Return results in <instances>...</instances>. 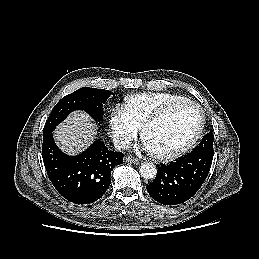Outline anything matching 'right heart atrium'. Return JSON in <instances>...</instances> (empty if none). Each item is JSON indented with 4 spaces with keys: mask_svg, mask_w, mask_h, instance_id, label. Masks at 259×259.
I'll return each instance as SVG.
<instances>
[{
    "mask_svg": "<svg viewBox=\"0 0 259 259\" xmlns=\"http://www.w3.org/2000/svg\"><path fill=\"white\" fill-rule=\"evenodd\" d=\"M109 126L115 145L127 148L138 134V127L132 122L125 106L115 105L110 112Z\"/></svg>",
    "mask_w": 259,
    "mask_h": 259,
    "instance_id": "1",
    "label": "right heart atrium"
}]
</instances>
